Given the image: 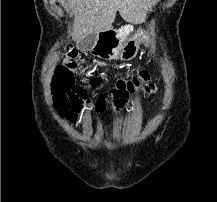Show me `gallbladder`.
I'll use <instances>...</instances> for the list:
<instances>
[{"mask_svg":"<svg viewBox=\"0 0 217 202\" xmlns=\"http://www.w3.org/2000/svg\"><path fill=\"white\" fill-rule=\"evenodd\" d=\"M97 34H89L83 40H81V44H79L80 51H91L92 46H95Z\"/></svg>","mask_w":217,"mask_h":202,"instance_id":"bac80fb5","label":"gallbladder"}]
</instances>
